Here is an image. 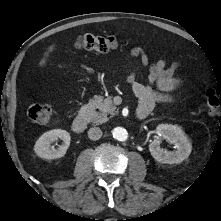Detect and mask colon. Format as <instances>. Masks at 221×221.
<instances>
[{"instance_id":"1","label":"colon","mask_w":221,"mask_h":221,"mask_svg":"<svg viewBox=\"0 0 221 221\" xmlns=\"http://www.w3.org/2000/svg\"><path fill=\"white\" fill-rule=\"evenodd\" d=\"M118 41L114 36H97L93 34H83L77 37L75 46L98 52H108L117 47ZM208 115L216 119L219 116L221 107V95L214 90H208L205 95ZM28 117L35 123L48 124L53 117L50 106L37 102H30L27 109Z\"/></svg>"}]
</instances>
